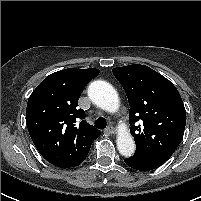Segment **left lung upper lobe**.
<instances>
[{"mask_svg": "<svg viewBox=\"0 0 201 201\" xmlns=\"http://www.w3.org/2000/svg\"><path fill=\"white\" fill-rule=\"evenodd\" d=\"M123 86L130 105L134 156L170 157L180 144L186 111L176 87L153 69L134 64L112 69ZM138 120L143 126H135Z\"/></svg>", "mask_w": 201, "mask_h": 201, "instance_id": "5c2ea615", "label": "left lung upper lobe"}]
</instances>
